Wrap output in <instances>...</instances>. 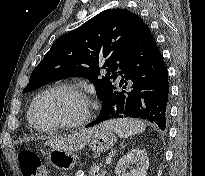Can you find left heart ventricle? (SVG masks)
<instances>
[{
  "instance_id": "b2bd125f",
  "label": "left heart ventricle",
  "mask_w": 205,
  "mask_h": 176,
  "mask_svg": "<svg viewBox=\"0 0 205 176\" xmlns=\"http://www.w3.org/2000/svg\"><path fill=\"white\" fill-rule=\"evenodd\" d=\"M84 111L81 100L65 91L46 95L36 105L34 120L38 125L47 126L78 119Z\"/></svg>"
}]
</instances>
